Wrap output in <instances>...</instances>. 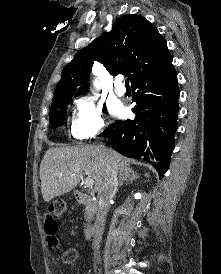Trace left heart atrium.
Segmentation results:
<instances>
[{
  "instance_id": "1",
  "label": "left heart atrium",
  "mask_w": 221,
  "mask_h": 274,
  "mask_svg": "<svg viewBox=\"0 0 221 274\" xmlns=\"http://www.w3.org/2000/svg\"><path fill=\"white\" fill-rule=\"evenodd\" d=\"M111 112L114 114V115H117V116H121L123 115L124 113V108L121 104L119 103H114L112 106H111Z\"/></svg>"
}]
</instances>
